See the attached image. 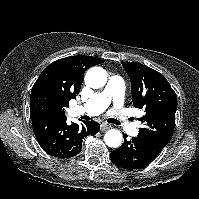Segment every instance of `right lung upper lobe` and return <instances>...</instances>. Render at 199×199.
<instances>
[{
  "label": "right lung upper lobe",
  "instance_id": "1",
  "mask_svg": "<svg viewBox=\"0 0 199 199\" xmlns=\"http://www.w3.org/2000/svg\"><path fill=\"white\" fill-rule=\"evenodd\" d=\"M103 62L104 60L91 56H70L51 63L42 71L31 90V117L49 115L66 118L65 107L78 95L85 71ZM43 95L51 97L54 101L51 113L38 112L34 107L36 98Z\"/></svg>",
  "mask_w": 199,
  "mask_h": 199
}]
</instances>
